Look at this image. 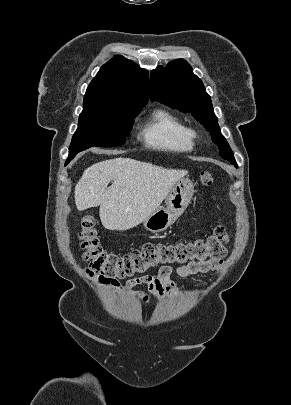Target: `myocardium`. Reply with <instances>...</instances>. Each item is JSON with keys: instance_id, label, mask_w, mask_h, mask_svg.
<instances>
[{"instance_id": "1", "label": "myocardium", "mask_w": 291, "mask_h": 405, "mask_svg": "<svg viewBox=\"0 0 291 405\" xmlns=\"http://www.w3.org/2000/svg\"><path fill=\"white\" fill-rule=\"evenodd\" d=\"M192 137H193V139H195V138H199L200 135L196 131L192 130Z\"/></svg>"}]
</instances>
